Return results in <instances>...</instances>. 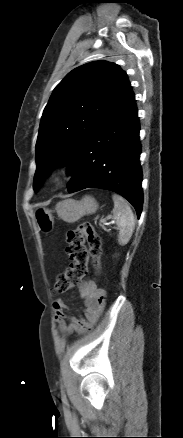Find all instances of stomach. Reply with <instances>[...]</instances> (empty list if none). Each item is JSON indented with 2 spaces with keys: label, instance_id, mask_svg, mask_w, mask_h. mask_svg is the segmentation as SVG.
Wrapping results in <instances>:
<instances>
[{
  "label": "stomach",
  "instance_id": "obj_1",
  "mask_svg": "<svg viewBox=\"0 0 183 438\" xmlns=\"http://www.w3.org/2000/svg\"><path fill=\"white\" fill-rule=\"evenodd\" d=\"M98 208L96 200L85 196L82 200L66 199L56 205L58 216L67 223H74L81 217L93 214ZM34 219L39 231L44 234L50 233L54 228L52 211L46 208H38L34 211Z\"/></svg>",
  "mask_w": 183,
  "mask_h": 438
}]
</instances>
